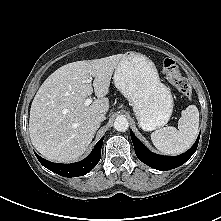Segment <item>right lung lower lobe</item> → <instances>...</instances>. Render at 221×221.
Returning a JSON list of instances; mask_svg holds the SVG:
<instances>
[{"mask_svg":"<svg viewBox=\"0 0 221 221\" xmlns=\"http://www.w3.org/2000/svg\"><path fill=\"white\" fill-rule=\"evenodd\" d=\"M103 138H101L88 157L84 160L72 164H57L47 161L35 154L39 162L51 170L52 172L61 175L63 177H78L87 174L91 171L99 162L101 156Z\"/></svg>","mask_w":221,"mask_h":221,"instance_id":"1","label":"right lung lower lobe"}]
</instances>
